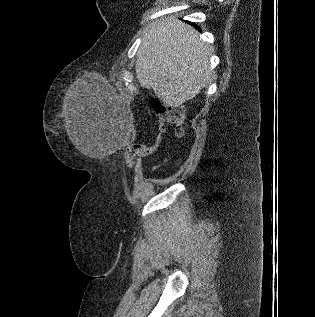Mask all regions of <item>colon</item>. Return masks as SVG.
<instances>
[{
  "mask_svg": "<svg viewBox=\"0 0 315 317\" xmlns=\"http://www.w3.org/2000/svg\"><path fill=\"white\" fill-rule=\"evenodd\" d=\"M154 111L159 120L160 129L166 125H175L177 135L181 136L184 132L185 109L183 107H166L154 101L152 103ZM159 138L151 144H135L129 148V160L133 161L137 157H144L154 154L159 147Z\"/></svg>",
  "mask_w": 315,
  "mask_h": 317,
  "instance_id": "obj_1",
  "label": "colon"
}]
</instances>
